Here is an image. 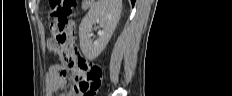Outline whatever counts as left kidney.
Returning a JSON list of instances; mask_svg holds the SVG:
<instances>
[{"label": "left kidney", "mask_w": 232, "mask_h": 96, "mask_svg": "<svg viewBox=\"0 0 232 96\" xmlns=\"http://www.w3.org/2000/svg\"><path fill=\"white\" fill-rule=\"evenodd\" d=\"M122 10V0H98L82 19L79 27L80 48L84 56L93 60L100 55L108 44L117 26ZM102 28L99 38L93 41V25Z\"/></svg>", "instance_id": "1"}]
</instances>
